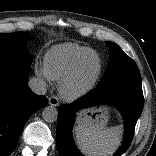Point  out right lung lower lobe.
<instances>
[{
	"label": "right lung lower lobe",
	"mask_w": 156,
	"mask_h": 156,
	"mask_svg": "<svg viewBox=\"0 0 156 156\" xmlns=\"http://www.w3.org/2000/svg\"><path fill=\"white\" fill-rule=\"evenodd\" d=\"M30 69L25 63L0 61V156L13 151L29 117L48 102L28 87Z\"/></svg>",
	"instance_id": "98d812e1"
}]
</instances>
